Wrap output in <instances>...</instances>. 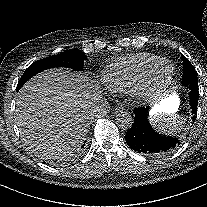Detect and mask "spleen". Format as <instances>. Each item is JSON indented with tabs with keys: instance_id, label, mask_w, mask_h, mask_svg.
Returning a JSON list of instances; mask_svg holds the SVG:
<instances>
[{
	"instance_id": "obj_1",
	"label": "spleen",
	"mask_w": 207,
	"mask_h": 207,
	"mask_svg": "<svg viewBox=\"0 0 207 207\" xmlns=\"http://www.w3.org/2000/svg\"><path fill=\"white\" fill-rule=\"evenodd\" d=\"M182 128V123L177 118L159 116L153 122L154 131L163 136L174 137Z\"/></svg>"
}]
</instances>
